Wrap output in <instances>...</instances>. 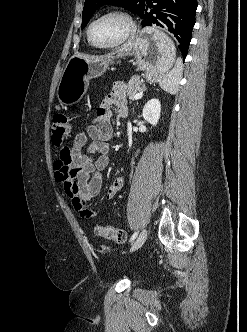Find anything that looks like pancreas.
Listing matches in <instances>:
<instances>
[{
  "label": "pancreas",
  "mask_w": 247,
  "mask_h": 332,
  "mask_svg": "<svg viewBox=\"0 0 247 332\" xmlns=\"http://www.w3.org/2000/svg\"><path fill=\"white\" fill-rule=\"evenodd\" d=\"M145 87L140 85L139 77H133L127 85L126 94L129 99H133V97L138 93L144 91Z\"/></svg>",
  "instance_id": "obj_1"
}]
</instances>
